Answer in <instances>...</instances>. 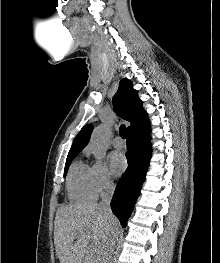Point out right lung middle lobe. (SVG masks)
<instances>
[{
	"label": "right lung middle lobe",
	"instance_id": "dd1d6c3e",
	"mask_svg": "<svg viewBox=\"0 0 220 263\" xmlns=\"http://www.w3.org/2000/svg\"><path fill=\"white\" fill-rule=\"evenodd\" d=\"M76 156H77V154H76V155H69V156H67V160H66V164H65V175H66V173H67V170H68V168H69L72 160H73Z\"/></svg>",
	"mask_w": 220,
	"mask_h": 263
}]
</instances>
